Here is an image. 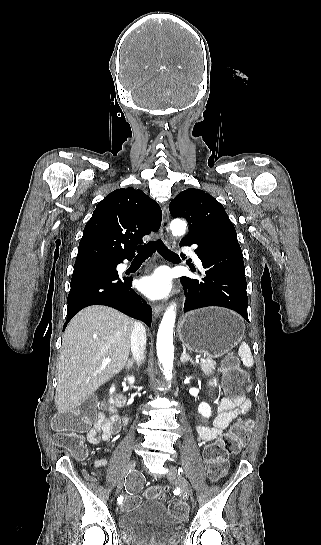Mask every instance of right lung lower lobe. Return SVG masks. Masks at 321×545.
I'll return each mask as SVG.
<instances>
[{"label": "right lung lower lobe", "mask_w": 321, "mask_h": 545, "mask_svg": "<svg viewBox=\"0 0 321 545\" xmlns=\"http://www.w3.org/2000/svg\"><path fill=\"white\" fill-rule=\"evenodd\" d=\"M118 264L74 268L64 328L76 313L90 305L113 307L151 326V307L131 289L132 277L118 275Z\"/></svg>", "instance_id": "1"}]
</instances>
